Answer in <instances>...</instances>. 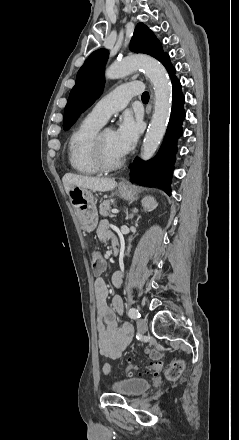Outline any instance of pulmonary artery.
Masks as SVG:
<instances>
[{"label":"pulmonary artery","instance_id":"pulmonary-artery-1","mask_svg":"<svg viewBox=\"0 0 239 440\" xmlns=\"http://www.w3.org/2000/svg\"><path fill=\"white\" fill-rule=\"evenodd\" d=\"M143 88V85L139 82L121 85L100 98L91 108L88 117L103 124L112 113L126 107L130 98L140 94Z\"/></svg>","mask_w":239,"mask_h":440}]
</instances>
